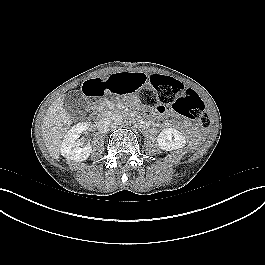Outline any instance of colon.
Masks as SVG:
<instances>
[{
	"label": "colon",
	"instance_id": "5ec220e1",
	"mask_svg": "<svg viewBox=\"0 0 265 265\" xmlns=\"http://www.w3.org/2000/svg\"><path fill=\"white\" fill-rule=\"evenodd\" d=\"M148 83L150 87H142L138 92V98L150 109V113L171 106L178 114L195 119L203 127L211 125L204 102L193 89L158 73L152 74Z\"/></svg>",
	"mask_w": 265,
	"mask_h": 265
}]
</instances>
